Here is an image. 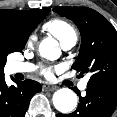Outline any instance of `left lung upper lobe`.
<instances>
[{
	"instance_id": "1",
	"label": "left lung upper lobe",
	"mask_w": 117,
	"mask_h": 117,
	"mask_svg": "<svg viewBox=\"0 0 117 117\" xmlns=\"http://www.w3.org/2000/svg\"><path fill=\"white\" fill-rule=\"evenodd\" d=\"M54 12L72 20L80 30L81 48L72 68L92 74L87 85L117 87V32L97 11L87 7H58Z\"/></svg>"
}]
</instances>
